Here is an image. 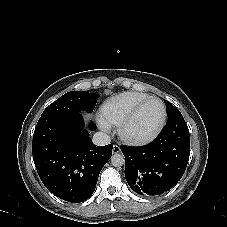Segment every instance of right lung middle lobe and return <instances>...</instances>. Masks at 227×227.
Segmentation results:
<instances>
[{
  "mask_svg": "<svg viewBox=\"0 0 227 227\" xmlns=\"http://www.w3.org/2000/svg\"><path fill=\"white\" fill-rule=\"evenodd\" d=\"M98 97V94H90L88 91H70L51 103L41 116L78 114L81 111L90 113Z\"/></svg>",
  "mask_w": 227,
  "mask_h": 227,
  "instance_id": "dd1d6c3e",
  "label": "right lung middle lobe"
}]
</instances>
